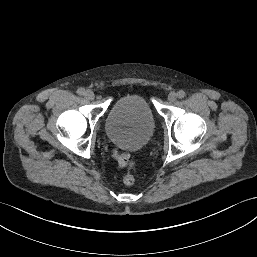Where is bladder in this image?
<instances>
[{
	"mask_svg": "<svg viewBox=\"0 0 257 257\" xmlns=\"http://www.w3.org/2000/svg\"><path fill=\"white\" fill-rule=\"evenodd\" d=\"M105 132L116 146L138 150L155 136L156 123L147 100L139 94L117 98L105 120Z\"/></svg>",
	"mask_w": 257,
	"mask_h": 257,
	"instance_id": "bladder-1",
	"label": "bladder"
}]
</instances>
